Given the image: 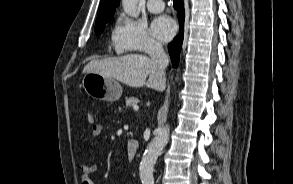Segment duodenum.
Here are the masks:
<instances>
[{"instance_id": "410a0bca", "label": "duodenum", "mask_w": 293, "mask_h": 184, "mask_svg": "<svg viewBox=\"0 0 293 184\" xmlns=\"http://www.w3.org/2000/svg\"><path fill=\"white\" fill-rule=\"evenodd\" d=\"M138 148H139V143L137 140L131 139L128 141L127 156L130 161H132L135 158Z\"/></svg>"}]
</instances>
